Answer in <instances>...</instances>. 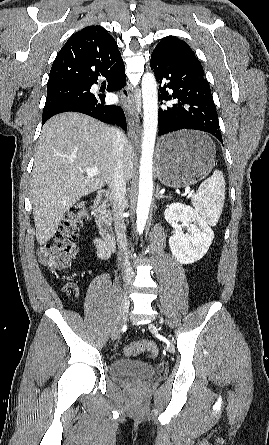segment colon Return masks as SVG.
Listing matches in <instances>:
<instances>
[{
  "label": "colon",
  "mask_w": 269,
  "mask_h": 445,
  "mask_svg": "<svg viewBox=\"0 0 269 445\" xmlns=\"http://www.w3.org/2000/svg\"><path fill=\"white\" fill-rule=\"evenodd\" d=\"M88 207L87 200H79L69 208L54 234L53 241L38 249V257L43 265L51 270H62L71 264L77 252V231L89 219ZM142 351L155 356L157 347L151 341H140L127 344L123 348L124 355L128 357Z\"/></svg>",
  "instance_id": "obj_1"
}]
</instances>
